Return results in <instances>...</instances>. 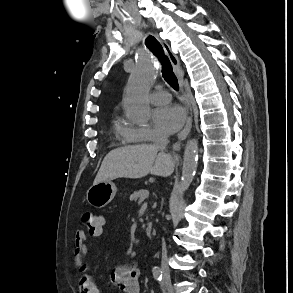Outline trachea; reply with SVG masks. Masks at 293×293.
<instances>
[{
  "mask_svg": "<svg viewBox=\"0 0 293 293\" xmlns=\"http://www.w3.org/2000/svg\"><path fill=\"white\" fill-rule=\"evenodd\" d=\"M146 46L158 57L162 65V76L165 81L174 89H178V80L173 72L169 58L164 54L163 48L154 36H148L145 41Z\"/></svg>",
  "mask_w": 293,
  "mask_h": 293,
  "instance_id": "trachea-1",
  "label": "trachea"
}]
</instances>
